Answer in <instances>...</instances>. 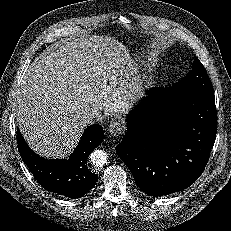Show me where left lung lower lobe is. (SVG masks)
<instances>
[{
    "label": "left lung lower lobe",
    "instance_id": "obj_1",
    "mask_svg": "<svg viewBox=\"0 0 231 231\" xmlns=\"http://www.w3.org/2000/svg\"><path fill=\"white\" fill-rule=\"evenodd\" d=\"M152 88L127 119L116 152L146 194L190 186L203 173L217 133L214 90Z\"/></svg>",
    "mask_w": 231,
    "mask_h": 231
}]
</instances>
